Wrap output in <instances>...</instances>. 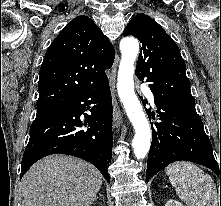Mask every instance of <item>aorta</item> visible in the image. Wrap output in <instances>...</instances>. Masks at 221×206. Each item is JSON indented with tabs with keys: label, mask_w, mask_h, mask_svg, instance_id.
Masks as SVG:
<instances>
[{
	"label": "aorta",
	"mask_w": 221,
	"mask_h": 206,
	"mask_svg": "<svg viewBox=\"0 0 221 206\" xmlns=\"http://www.w3.org/2000/svg\"><path fill=\"white\" fill-rule=\"evenodd\" d=\"M121 61L118 70L117 90L126 114L133 125L135 136L132 141L137 159H144L150 149L151 129L140 101L134 92V63L139 53L138 40L125 37L120 41Z\"/></svg>",
	"instance_id": "1"
}]
</instances>
